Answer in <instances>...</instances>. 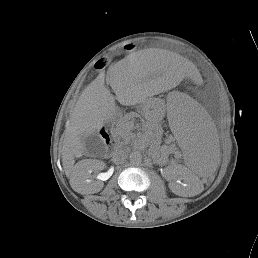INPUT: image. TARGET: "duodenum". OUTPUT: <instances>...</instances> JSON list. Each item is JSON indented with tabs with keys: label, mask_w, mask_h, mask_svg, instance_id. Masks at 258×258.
<instances>
[{
	"label": "duodenum",
	"mask_w": 258,
	"mask_h": 258,
	"mask_svg": "<svg viewBox=\"0 0 258 258\" xmlns=\"http://www.w3.org/2000/svg\"><path fill=\"white\" fill-rule=\"evenodd\" d=\"M103 137L106 139L107 143L109 141V135L103 130L102 132Z\"/></svg>",
	"instance_id": "duodenum-1"
}]
</instances>
